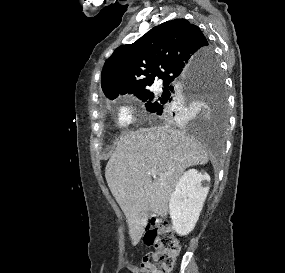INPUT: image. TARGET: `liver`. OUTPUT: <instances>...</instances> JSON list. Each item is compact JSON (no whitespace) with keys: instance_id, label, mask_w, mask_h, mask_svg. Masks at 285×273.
<instances>
[{"instance_id":"liver-1","label":"liver","mask_w":285,"mask_h":273,"mask_svg":"<svg viewBox=\"0 0 285 273\" xmlns=\"http://www.w3.org/2000/svg\"><path fill=\"white\" fill-rule=\"evenodd\" d=\"M208 161L200 142L169 123L120 137L105 178L126 216L134 245L144 232L148 212L167 214L171 194L185 169ZM152 171L155 177L149 174Z\"/></svg>"}]
</instances>
